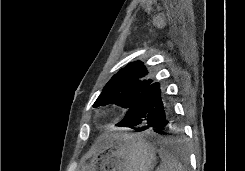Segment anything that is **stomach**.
<instances>
[{
    "label": "stomach",
    "instance_id": "1",
    "mask_svg": "<svg viewBox=\"0 0 245 171\" xmlns=\"http://www.w3.org/2000/svg\"><path fill=\"white\" fill-rule=\"evenodd\" d=\"M156 151L145 135L117 132L108 135L81 171H152Z\"/></svg>",
    "mask_w": 245,
    "mask_h": 171
}]
</instances>
